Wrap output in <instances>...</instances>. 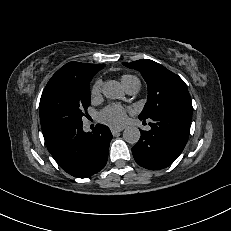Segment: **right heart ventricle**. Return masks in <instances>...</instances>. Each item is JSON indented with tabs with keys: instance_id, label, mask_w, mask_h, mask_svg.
<instances>
[{
	"instance_id": "right-heart-ventricle-1",
	"label": "right heart ventricle",
	"mask_w": 231,
	"mask_h": 231,
	"mask_svg": "<svg viewBox=\"0 0 231 231\" xmlns=\"http://www.w3.org/2000/svg\"><path fill=\"white\" fill-rule=\"evenodd\" d=\"M134 78L135 77L132 75H123L121 77V82H122L123 86L125 87Z\"/></svg>"
}]
</instances>
